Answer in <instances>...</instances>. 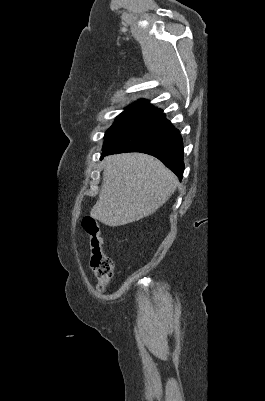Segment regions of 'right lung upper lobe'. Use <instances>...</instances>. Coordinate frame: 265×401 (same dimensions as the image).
I'll list each match as a JSON object with an SVG mask.
<instances>
[{"label": "right lung upper lobe", "instance_id": "1", "mask_svg": "<svg viewBox=\"0 0 265 401\" xmlns=\"http://www.w3.org/2000/svg\"><path fill=\"white\" fill-rule=\"evenodd\" d=\"M133 104H147V105H149V101L145 100V99H140V100L134 102Z\"/></svg>", "mask_w": 265, "mask_h": 401}]
</instances>
